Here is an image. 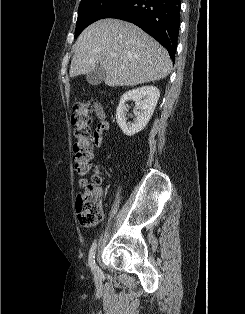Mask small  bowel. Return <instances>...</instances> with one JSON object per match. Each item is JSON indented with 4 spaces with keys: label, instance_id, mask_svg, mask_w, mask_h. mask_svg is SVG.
Here are the masks:
<instances>
[{
    "label": "small bowel",
    "instance_id": "c3829d8e",
    "mask_svg": "<svg viewBox=\"0 0 245 314\" xmlns=\"http://www.w3.org/2000/svg\"><path fill=\"white\" fill-rule=\"evenodd\" d=\"M94 109L97 116L100 119L98 126L94 132V143H95L96 148H100L105 137L107 136V132L110 126L108 122L105 120V114H104V110L102 106L99 104H96Z\"/></svg>",
    "mask_w": 245,
    "mask_h": 314
}]
</instances>
